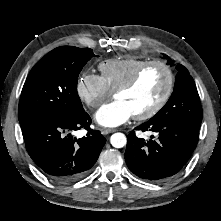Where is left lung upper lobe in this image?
I'll return each instance as SVG.
<instances>
[{
	"label": "left lung upper lobe",
	"mask_w": 221,
	"mask_h": 221,
	"mask_svg": "<svg viewBox=\"0 0 221 221\" xmlns=\"http://www.w3.org/2000/svg\"><path fill=\"white\" fill-rule=\"evenodd\" d=\"M176 68L178 73L174 91L168 102L152 119L169 117L200 129L203 111L195 82L184 66L179 64Z\"/></svg>",
	"instance_id": "obj_1"
}]
</instances>
